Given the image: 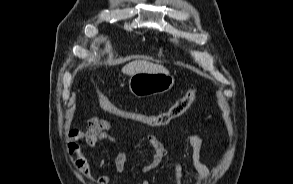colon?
Listing matches in <instances>:
<instances>
[{
  "label": "colon",
  "mask_w": 293,
  "mask_h": 184,
  "mask_svg": "<svg viewBox=\"0 0 293 184\" xmlns=\"http://www.w3.org/2000/svg\"><path fill=\"white\" fill-rule=\"evenodd\" d=\"M93 50H96V48H94ZM90 81L93 85L94 92L100 106L106 112L119 118L143 123L152 127L165 126L172 120L184 114L193 104L195 97L197 95V88L194 87L187 91V93L184 96L176 100L168 109L158 114H146L137 111H126L115 107L107 99V97H105L104 94L98 89L92 77Z\"/></svg>",
  "instance_id": "colon-1"
}]
</instances>
